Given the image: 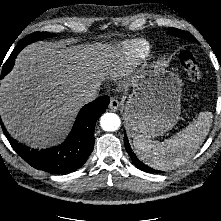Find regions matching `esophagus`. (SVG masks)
<instances>
[{"instance_id": "1", "label": "esophagus", "mask_w": 221, "mask_h": 221, "mask_svg": "<svg viewBox=\"0 0 221 221\" xmlns=\"http://www.w3.org/2000/svg\"><path fill=\"white\" fill-rule=\"evenodd\" d=\"M119 101L115 97L110 98L109 109L116 111L119 108Z\"/></svg>"}]
</instances>
